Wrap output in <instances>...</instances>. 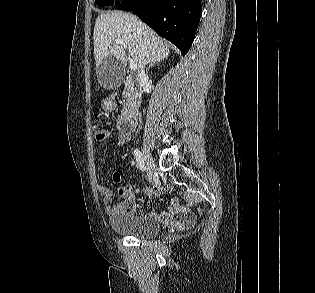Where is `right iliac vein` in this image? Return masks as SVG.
Segmentation results:
<instances>
[{"instance_id":"obj_1","label":"right iliac vein","mask_w":315,"mask_h":293,"mask_svg":"<svg viewBox=\"0 0 315 293\" xmlns=\"http://www.w3.org/2000/svg\"><path fill=\"white\" fill-rule=\"evenodd\" d=\"M143 156L147 167V172L149 177H152L156 173V166L155 163L150 155V153L144 149L143 150Z\"/></svg>"}]
</instances>
